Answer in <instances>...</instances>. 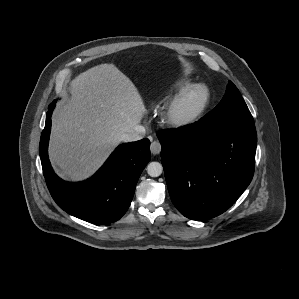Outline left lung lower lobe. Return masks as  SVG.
<instances>
[{
	"label": "left lung lower lobe",
	"instance_id": "obj_1",
	"mask_svg": "<svg viewBox=\"0 0 299 299\" xmlns=\"http://www.w3.org/2000/svg\"><path fill=\"white\" fill-rule=\"evenodd\" d=\"M171 200L187 218L216 217L250 184L257 145L254 125L212 127L195 122L157 133Z\"/></svg>",
	"mask_w": 299,
	"mask_h": 299
}]
</instances>
